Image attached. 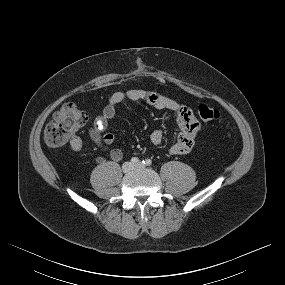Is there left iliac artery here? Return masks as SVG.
<instances>
[{
	"instance_id": "left-iliac-artery-1",
	"label": "left iliac artery",
	"mask_w": 285,
	"mask_h": 285,
	"mask_svg": "<svg viewBox=\"0 0 285 285\" xmlns=\"http://www.w3.org/2000/svg\"><path fill=\"white\" fill-rule=\"evenodd\" d=\"M145 165L150 166L152 164V160L151 159H145L142 161Z\"/></svg>"
}]
</instances>
